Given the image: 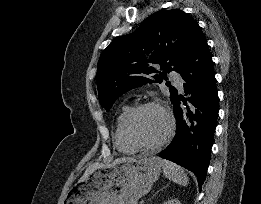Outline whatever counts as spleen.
<instances>
[{"mask_svg": "<svg viewBox=\"0 0 261 204\" xmlns=\"http://www.w3.org/2000/svg\"><path fill=\"white\" fill-rule=\"evenodd\" d=\"M163 172L166 178L178 185L187 186L189 183L184 170L171 161L163 160Z\"/></svg>", "mask_w": 261, "mask_h": 204, "instance_id": "spleen-1", "label": "spleen"}]
</instances>
